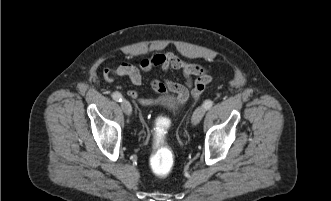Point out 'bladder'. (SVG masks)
Masks as SVG:
<instances>
[{"label":"bladder","instance_id":"obj_1","mask_svg":"<svg viewBox=\"0 0 331 201\" xmlns=\"http://www.w3.org/2000/svg\"><path fill=\"white\" fill-rule=\"evenodd\" d=\"M153 106L165 110L172 118H178L185 109V103L172 94H164L153 101Z\"/></svg>","mask_w":331,"mask_h":201}]
</instances>
